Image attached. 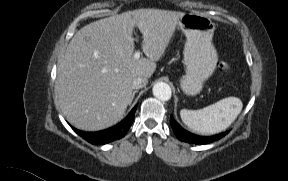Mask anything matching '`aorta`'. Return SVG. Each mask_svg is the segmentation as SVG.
Here are the masks:
<instances>
[{
  "instance_id": "762f6f07",
  "label": "aorta",
  "mask_w": 288,
  "mask_h": 181,
  "mask_svg": "<svg viewBox=\"0 0 288 181\" xmlns=\"http://www.w3.org/2000/svg\"><path fill=\"white\" fill-rule=\"evenodd\" d=\"M152 92H153V95L161 101H168L172 95L170 86L164 82L156 83L153 86Z\"/></svg>"
}]
</instances>
